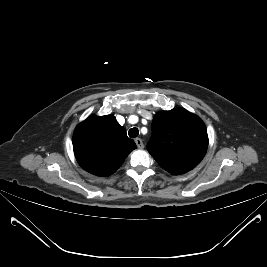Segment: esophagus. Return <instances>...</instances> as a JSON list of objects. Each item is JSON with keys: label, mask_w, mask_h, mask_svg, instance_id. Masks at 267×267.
Returning <instances> with one entry per match:
<instances>
[{"label": "esophagus", "mask_w": 267, "mask_h": 267, "mask_svg": "<svg viewBox=\"0 0 267 267\" xmlns=\"http://www.w3.org/2000/svg\"><path fill=\"white\" fill-rule=\"evenodd\" d=\"M135 143H136V145H137V147L139 149H143L144 148V144H143V142H142V140L140 138H136L135 139Z\"/></svg>", "instance_id": "esophagus-1"}]
</instances>
